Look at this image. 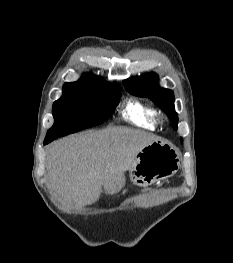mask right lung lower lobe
<instances>
[{
  "label": "right lung lower lobe",
  "instance_id": "right-lung-lower-lobe-1",
  "mask_svg": "<svg viewBox=\"0 0 233 263\" xmlns=\"http://www.w3.org/2000/svg\"><path fill=\"white\" fill-rule=\"evenodd\" d=\"M50 142H51V141H46V140H45V141H44V144H48V143H50Z\"/></svg>",
  "mask_w": 233,
  "mask_h": 263
}]
</instances>
